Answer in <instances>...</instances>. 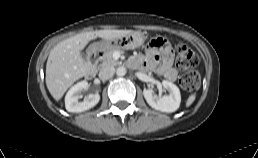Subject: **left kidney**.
<instances>
[{
	"label": "left kidney",
	"instance_id": "5707ae66",
	"mask_svg": "<svg viewBox=\"0 0 258 158\" xmlns=\"http://www.w3.org/2000/svg\"><path fill=\"white\" fill-rule=\"evenodd\" d=\"M163 87L168 90L169 95L158 97L154 94L153 90L146 89L143 91V95L147 103L154 109L171 113L176 111L181 102V94L179 88L170 81L163 80Z\"/></svg>",
	"mask_w": 258,
	"mask_h": 158
}]
</instances>
